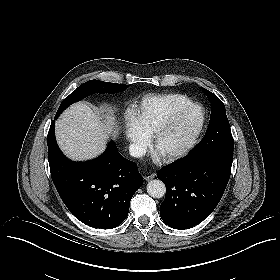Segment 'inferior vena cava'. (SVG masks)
<instances>
[{
	"label": "inferior vena cava",
	"mask_w": 280,
	"mask_h": 280,
	"mask_svg": "<svg viewBox=\"0 0 280 280\" xmlns=\"http://www.w3.org/2000/svg\"><path fill=\"white\" fill-rule=\"evenodd\" d=\"M128 148L129 154L134 158H140L145 154V149L137 143L130 144Z\"/></svg>",
	"instance_id": "1"
}]
</instances>
